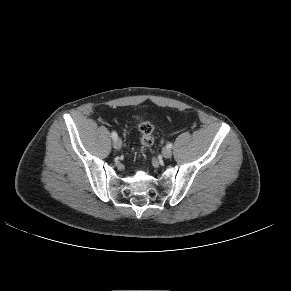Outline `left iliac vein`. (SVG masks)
I'll use <instances>...</instances> for the list:
<instances>
[{
    "mask_svg": "<svg viewBox=\"0 0 291 291\" xmlns=\"http://www.w3.org/2000/svg\"><path fill=\"white\" fill-rule=\"evenodd\" d=\"M162 154L165 158H170L172 156V151L170 148H164Z\"/></svg>",
    "mask_w": 291,
    "mask_h": 291,
    "instance_id": "left-iliac-vein-1",
    "label": "left iliac vein"
}]
</instances>
